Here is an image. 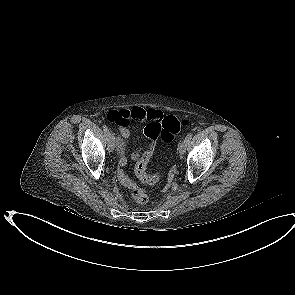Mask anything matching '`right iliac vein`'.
Here are the masks:
<instances>
[{
    "instance_id": "obj_1",
    "label": "right iliac vein",
    "mask_w": 295,
    "mask_h": 295,
    "mask_svg": "<svg viewBox=\"0 0 295 295\" xmlns=\"http://www.w3.org/2000/svg\"><path fill=\"white\" fill-rule=\"evenodd\" d=\"M107 142H108V150L110 152H113L115 149V138L113 134L110 133V135L108 136Z\"/></svg>"
}]
</instances>
